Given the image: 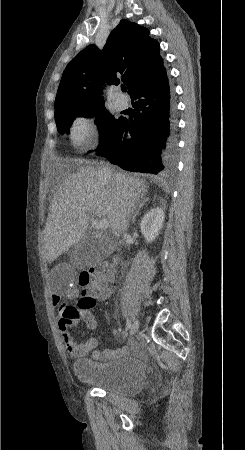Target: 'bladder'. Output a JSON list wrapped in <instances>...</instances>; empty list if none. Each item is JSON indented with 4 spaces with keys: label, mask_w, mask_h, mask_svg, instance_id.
Segmentation results:
<instances>
[{
    "label": "bladder",
    "mask_w": 245,
    "mask_h": 450,
    "mask_svg": "<svg viewBox=\"0 0 245 450\" xmlns=\"http://www.w3.org/2000/svg\"><path fill=\"white\" fill-rule=\"evenodd\" d=\"M76 377L85 385L121 396L140 393L146 381L142 360L124 356L113 359H84L75 362Z\"/></svg>",
    "instance_id": "bladder-1"
}]
</instances>
